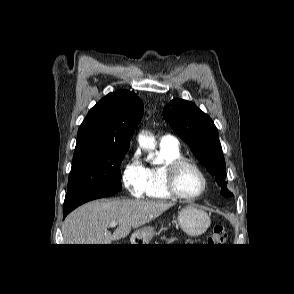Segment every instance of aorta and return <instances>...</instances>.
<instances>
[{"mask_svg":"<svg viewBox=\"0 0 294 294\" xmlns=\"http://www.w3.org/2000/svg\"><path fill=\"white\" fill-rule=\"evenodd\" d=\"M138 142L141 148L148 151V159H154V149L156 147L155 139L145 132L138 135Z\"/></svg>","mask_w":294,"mask_h":294,"instance_id":"aorta-1","label":"aorta"}]
</instances>
